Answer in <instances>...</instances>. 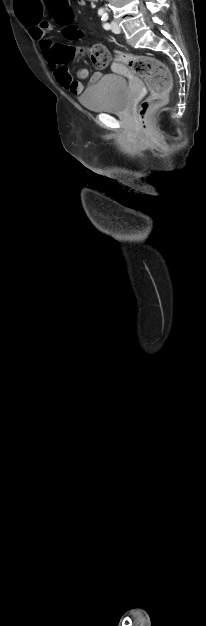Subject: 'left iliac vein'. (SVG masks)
I'll return each instance as SVG.
<instances>
[{
	"mask_svg": "<svg viewBox=\"0 0 206 626\" xmlns=\"http://www.w3.org/2000/svg\"><path fill=\"white\" fill-rule=\"evenodd\" d=\"M111 29L116 34H119L121 32V28L116 21L111 22Z\"/></svg>",
	"mask_w": 206,
	"mask_h": 626,
	"instance_id": "1",
	"label": "left iliac vein"
}]
</instances>
